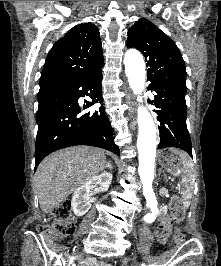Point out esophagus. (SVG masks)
I'll return each mask as SVG.
<instances>
[{
    "mask_svg": "<svg viewBox=\"0 0 221 266\" xmlns=\"http://www.w3.org/2000/svg\"><path fill=\"white\" fill-rule=\"evenodd\" d=\"M125 101L129 105V116L130 117H133V114H134V105H133V102L131 100L130 90L128 89L127 86H125ZM135 125H136V121L133 119V121L131 123V128H134Z\"/></svg>",
    "mask_w": 221,
    "mask_h": 266,
    "instance_id": "obj_1",
    "label": "esophagus"
}]
</instances>
